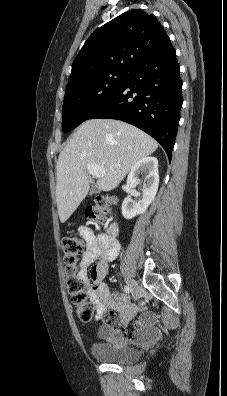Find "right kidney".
Returning a JSON list of instances; mask_svg holds the SVG:
<instances>
[{
    "instance_id": "1",
    "label": "right kidney",
    "mask_w": 227,
    "mask_h": 396,
    "mask_svg": "<svg viewBox=\"0 0 227 396\" xmlns=\"http://www.w3.org/2000/svg\"><path fill=\"white\" fill-rule=\"evenodd\" d=\"M145 175L142 199L138 202L127 196L122 203V215L125 219H132L144 213L152 203L158 190L159 173L158 160L155 157H145L136 162L127 178V190L131 191L139 183L138 176Z\"/></svg>"
}]
</instances>
